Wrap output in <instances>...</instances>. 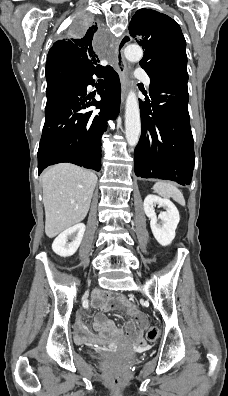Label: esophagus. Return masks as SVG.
Returning <instances> with one entry per match:
<instances>
[{"instance_id":"1","label":"esophagus","mask_w":228,"mask_h":396,"mask_svg":"<svg viewBox=\"0 0 228 396\" xmlns=\"http://www.w3.org/2000/svg\"><path fill=\"white\" fill-rule=\"evenodd\" d=\"M128 42H129V37L126 35L122 36L119 39L115 50V55H116L115 68L120 77L121 89H122V93H121L122 103H124L130 83L127 63L123 56L124 48L128 44Z\"/></svg>"}]
</instances>
